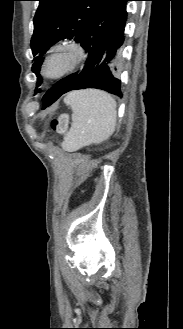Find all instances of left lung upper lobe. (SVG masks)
I'll use <instances>...</instances> for the list:
<instances>
[{"label": "left lung upper lobe", "mask_w": 183, "mask_h": 329, "mask_svg": "<svg viewBox=\"0 0 183 329\" xmlns=\"http://www.w3.org/2000/svg\"><path fill=\"white\" fill-rule=\"evenodd\" d=\"M34 17L31 49L34 56L32 71L37 75V87L41 85L39 74L43 55L62 39L80 43L95 18L115 0H38Z\"/></svg>", "instance_id": "1"}]
</instances>
